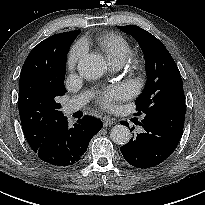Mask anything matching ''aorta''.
I'll use <instances>...</instances> for the list:
<instances>
[{
    "label": "aorta",
    "instance_id": "obj_1",
    "mask_svg": "<svg viewBox=\"0 0 205 205\" xmlns=\"http://www.w3.org/2000/svg\"><path fill=\"white\" fill-rule=\"evenodd\" d=\"M77 69L82 78L95 80L104 74L106 62L101 55L89 53L79 59ZM110 138L115 144L124 145L131 139V133L126 126L116 125L111 129Z\"/></svg>",
    "mask_w": 205,
    "mask_h": 205
}]
</instances>
